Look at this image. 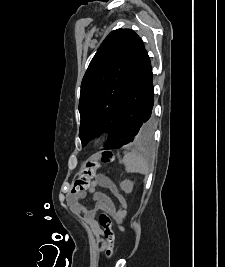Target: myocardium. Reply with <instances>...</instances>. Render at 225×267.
<instances>
[{"mask_svg":"<svg viewBox=\"0 0 225 267\" xmlns=\"http://www.w3.org/2000/svg\"><path fill=\"white\" fill-rule=\"evenodd\" d=\"M106 133H107V130L106 129H100L97 133H96V135H95V137H94V140L96 141V142H99V141H101V140H103L104 138H105V136H106Z\"/></svg>","mask_w":225,"mask_h":267,"instance_id":"myocardium-1","label":"myocardium"}]
</instances>
